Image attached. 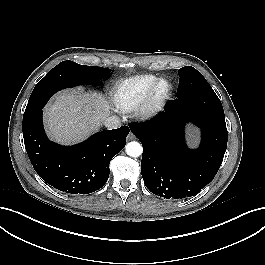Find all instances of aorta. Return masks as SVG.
<instances>
[{
    "mask_svg": "<svg viewBox=\"0 0 265 265\" xmlns=\"http://www.w3.org/2000/svg\"><path fill=\"white\" fill-rule=\"evenodd\" d=\"M127 155L131 157H139L142 154L143 148L142 145L136 141L127 143L125 147Z\"/></svg>",
    "mask_w": 265,
    "mask_h": 265,
    "instance_id": "1",
    "label": "aorta"
}]
</instances>
